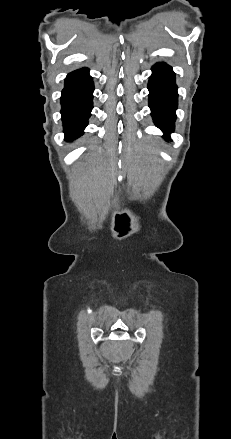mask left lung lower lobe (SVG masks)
<instances>
[{"label":"left lung lower lobe","mask_w":231,"mask_h":439,"mask_svg":"<svg viewBox=\"0 0 231 439\" xmlns=\"http://www.w3.org/2000/svg\"><path fill=\"white\" fill-rule=\"evenodd\" d=\"M149 107L155 125L165 131L164 138L170 140L169 133L174 131L178 93L175 73L166 63H157L152 67L149 78Z\"/></svg>","instance_id":"obj_1"}]
</instances>
